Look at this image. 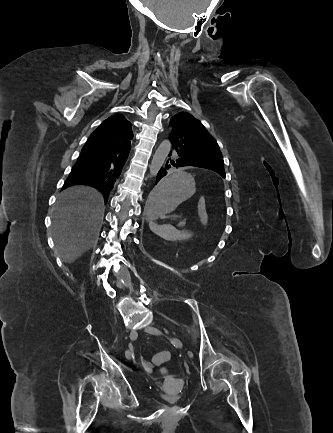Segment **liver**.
<instances>
[{
  "label": "liver",
  "mask_w": 333,
  "mask_h": 433,
  "mask_svg": "<svg viewBox=\"0 0 333 433\" xmlns=\"http://www.w3.org/2000/svg\"><path fill=\"white\" fill-rule=\"evenodd\" d=\"M104 209L103 195L89 186H72L59 195L52 226L63 262H74L96 244Z\"/></svg>",
  "instance_id": "obj_1"
}]
</instances>
